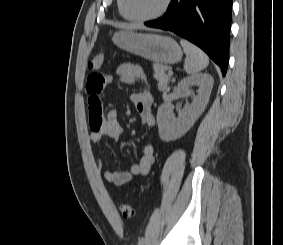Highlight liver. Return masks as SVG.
I'll use <instances>...</instances> for the list:
<instances>
[{
    "label": "liver",
    "instance_id": "liver-1",
    "mask_svg": "<svg viewBox=\"0 0 283 245\" xmlns=\"http://www.w3.org/2000/svg\"><path fill=\"white\" fill-rule=\"evenodd\" d=\"M118 27H121V28H123V29H126V30H132V29H134L135 28V26L134 25H118Z\"/></svg>",
    "mask_w": 283,
    "mask_h": 245
}]
</instances>
